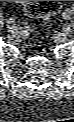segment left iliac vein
<instances>
[{
	"instance_id": "1",
	"label": "left iliac vein",
	"mask_w": 74,
	"mask_h": 122,
	"mask_svg": "<svg viewBox=\"0 0 74 122\" xmlns=\"http://www.w3.org/2000/svg\"><path fill=\"white\" fill-rule=\"evenodd\" d=\"M63 18L65 20H68L70 18V11L65 12L63 15ZM70 29H71V25L69 23L64 24V26H63V32L64 33H68L70 31Z\"/></svg>"
}]
</instances>
